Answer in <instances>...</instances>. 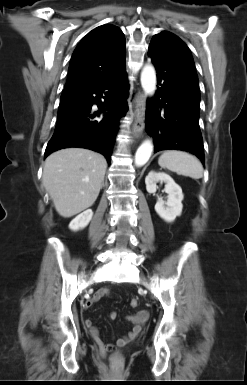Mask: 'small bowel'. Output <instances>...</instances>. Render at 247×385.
<instances>
[{
  "mask_svg": "<svg viewBox=\"0 0 247 385\" xmlns=\"http://www.w3.org/2000/svg\"><path fill=\"white\" fill-rule=\"evenodd\" d=\"M110 290L103 289L93 295L91 298L87 299L84 303V308H88L94 303H97L102 297L109 296ZM110 320H115L117 318V313L115 311H111L108 315ZM148 318V312L146 310L139 311L137 313L127 315V320L132 324L131 330L125 335L123 338L117 340V345L124 346L130 340L134 339L141 332L143 324L146 322ZM84 326L88 329L89 333L96 341V343L104 349H108L111 347L110 344L105 343L100 334L97 327L94 326L91 320L85 319Z\"/></svg>",
  "mask_w": 247,
  "mask_h": 385,
  "instance_id": "obj_1",
  "label": "small bowel"
}]
</instances>
